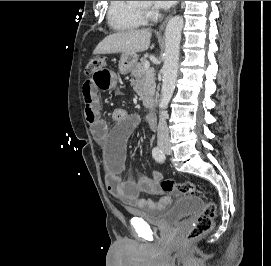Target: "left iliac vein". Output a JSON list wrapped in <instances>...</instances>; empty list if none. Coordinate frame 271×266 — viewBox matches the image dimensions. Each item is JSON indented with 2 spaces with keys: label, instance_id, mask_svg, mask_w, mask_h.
<instances>
[{
  "label": "left iliac vein",
  "instance_id": "left-iliac-vein-1",
  "mask_svg": "<svg viewBox=\"0 0 271 266\" xmlns=\"http://www.w3.org/2000/svg\"><path fill=\"white\" fill-rule=\"evenodd\" d=\"M163 151L166 155H170L172 153V150L169 145H166L165 148H163Z\"/></svg>",
  "mask_w": 271,
  "mask_h": 266
}]
</instances>
